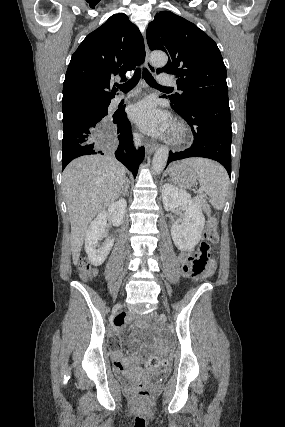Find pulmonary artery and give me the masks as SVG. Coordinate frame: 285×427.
<instances>
[{
	"mask_svg": "<svg viewBox=\"0 0 285 427\" xmlns=\"http://www.w3.org/2000/svg\"><path fill=\"white\" fill-rule=\"evenodd\" d=\"M159 82L163 85L171 86L176 83L173 77H171L169 74H160L159 75ZM138 92L137 91H131L125 95H120L117 97L116 101L120 102L121 100H126L134 97Z\"/></svg>",
	"mask_w": 285,
	"mask_h": 427,
	"instance_id": "obj_1",
	"label": "pulmonary artery"
}]
</instances>
